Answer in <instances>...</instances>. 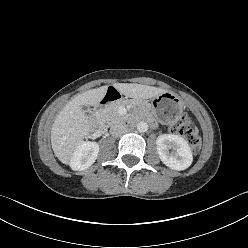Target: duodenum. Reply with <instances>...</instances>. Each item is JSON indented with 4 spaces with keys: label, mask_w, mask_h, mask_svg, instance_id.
<instances>
[{
    "label": "duodenum",
    "mask_w": 248,
    "mask_h": 248,
    "mask_svg": "<svg viewBox=\"0 0 248 248\" xmlns=\"http://www.w3.org/2000/svg\"><path fill=\"white\" fill-rule=\"evenodd\" d=\"M119 99H120V93L118 92V90L113 87H110L107 90V93L102 98L98 109L93 114L92 124L96 129L101 130L103 128V116H102L103 108ZM127 123L131 124V121L129 120L127 121Z\"/></svg>",
    "instance_id": "410a0bca"
}]
</instances>
